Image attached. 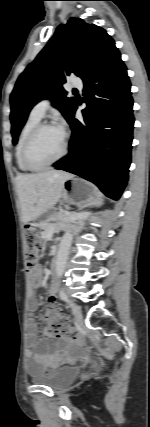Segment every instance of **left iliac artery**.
<instances>
[{"label":"left iliac artery","mask_w":150,"mask_h":427,"mask_svg":"<svg viewBox=\"0 0 150 427\" xmlns=\"http://www.w3.org/2000/svg\"><path fill=\"white\" fill-rule=\"evenodd\" d=\"M59 296H60V298H61L63 301H65V302L69 303V305H70V306H72V305H73V304H72V302L70 301V299L68 298V295L66 294V292L64 291V289H63V288H61V289L59 290Z\"/></svg>","instance_id":"1"}]
</instances>
